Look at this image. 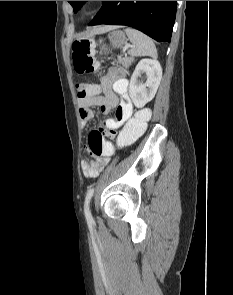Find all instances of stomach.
<instances>
[{"label":"stomach","mask_w":233,"mask_h":295,"mask_svg":"<svg viewBox=\"0 0 233 295\" xmlns=\"http://www.w3.org/2000/svg\"><path fill=\"white\" fill-rule=\"evenodd\" d=\"M108 37H109L110 42L114 48L122 47L126 41L125 33L120 30L112 31ZM101 51H104V53L106 54L107 49L102 48Z\"/></svg>","instance_id":"1"}]
</instances>
